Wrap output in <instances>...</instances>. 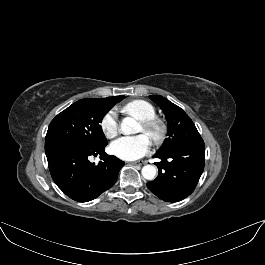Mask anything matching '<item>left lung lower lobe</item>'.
<instances>
[{
    "instance_id": "0a47b994",
    "label": "left lung lower lobe",
    "mask_w": 265,
    "mask_h": 265,
    "mask_svg": "<svg viewBox=\"0 0 265 265\" xmlns=\"http://www.w3.org/2000/svg\"><path fill=\"white\" fill-rule=\"evenodd\" d=\"M159 168L157 178L147 183L149 190L166 202H177L195 189L205 164L202 138L176 146L165 153L156 152Z\"/></svg>"
}]
</instances>
